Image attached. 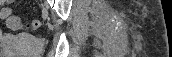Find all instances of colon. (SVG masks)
<instances>
[{
  "mask_svg": "<svg viewBox=\"0 0 172 57\" xmlns=\"http://www.w3.org/2000/svg\"><path fill=\"white\" fill-rule=\"evenodd\" d=\"M0 17L6 21L7 26L10 29L16 30L23 27L30 29H39L42 27V22L40 20H34L29 22L27 25H23L21 20L13 14L10 8L4 7L0 10Z\"/></svg>",
  "mask_w": 172,
  "mask_h": 57,
  "instance_id": "colon-1",
  "label": "colon"
}]
</instances>
